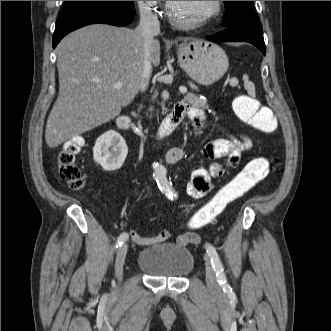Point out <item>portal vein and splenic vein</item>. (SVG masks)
Listing matches in <instances>:
<instances>
[{"label": "portal vein and splenic vein", "instance_id": "portal-vein-and-splenic-vein-1", "mask_svg": "<svg viewBox=\"0 0 331 331\" xmlns=\"http://www.w3.org/2000/svg\"><path fill=\"white\" fill-rule=\"evenodd\" d=\"M121 86H122V84H121L120 82H117V83H115V85H114V87H115L116 89H120ZM179 91H180L181 93L185 94V93H187V88L184 87V86H181V87H179Z\"/></svg>", "mask_w": 331, "mask_h": 331}]
</instances>
